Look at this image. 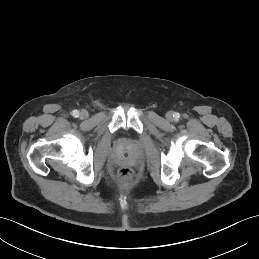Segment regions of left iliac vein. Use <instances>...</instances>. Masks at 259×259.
I'll list each match as a JSON object with an SVG mask.
<instances>
[{"label": "left iliac vein", "instance_id": "left-iliac-vein-1", "mask_svg": "<svg viewBox=\"0 0 259 259\" xmlns=\"http://www.w3.org/2000/svg\"><path fill=\"white\" fill-rule=\"evenodd\" d=\"M166 117H167L168 120L171 121V120L173 119L172 112H168V113L166 114Z\"/></svg>", "mask_w": 259, "mask_h": 259}]
</instances>
